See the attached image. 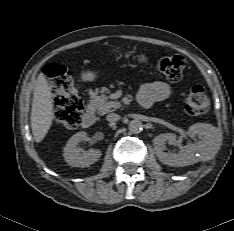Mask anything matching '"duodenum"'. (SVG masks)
I'll list each match as a JSON object with an SVG mask.
<instances>
[{
  "label": "duodenum",
  "mask_w": 234,
  "mask_h": 231,
  "mask_svg": "<svg viewBox=\"0 0 234 231\" xmlns=\"http://www.w3.org/2000/svg\"><path fill=\"white\" fill-rule=\"evenodd\" d=\"M96 121V115L92 108H87L82 114V124L84 127H91Z\"/></svg>",
  "instance_id": "obj_1"
}]
</instances>
